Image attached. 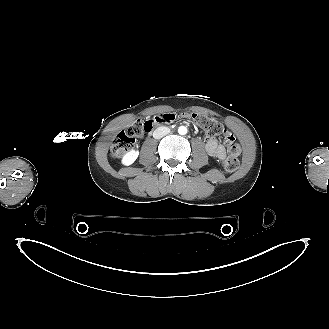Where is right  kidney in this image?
<instances>
[{
  "mask_svg": "<svg viewBox=\"0 0 329 329\" xmlns=\"http://www.w3.org/2000/svg\"><path fill=\"white\" fill-rule=\"evenodd\" d=\"M139 155L138 150H130L127 153L124 154L122 157V164L125 166H129L135 162Z\"/></svg>",
  "mask_w": 329,
  "mask_h": 329,
  "instance_id": "obj_1",
  "label": "right kidney"
}]
</instances>
